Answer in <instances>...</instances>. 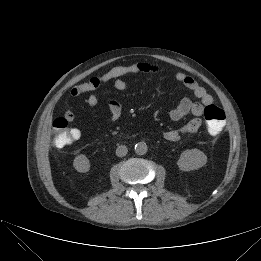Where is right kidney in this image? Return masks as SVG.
I'll return each instance as SVG.
<instances>
[{
	"label": "right kidney",
	"instance_id": "ca27d5eb",
	"mask_svg": "<svg viewBox=\"0 0 261 261\" xmlns=\"http://www.w3.org/2000/svg\"><path fill=\"white\" fill-rule=\"evenodd\" d=\"M73 166L78 172L81 173H86L90 170L89 159L84 154H80L75 157Z\"/></svg>",
	"mask_w": 261,
	"mask_h": 261
}]
</instances>
